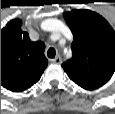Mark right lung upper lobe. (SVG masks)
<instances>
[{
    "label": "right lung upper lobe",
    "mask_w": 115,
    "mask_h": 114,
    "mask_svg": "<svg viewBox=\"0 0 115 114\" xmlns=\"http://www.w3.org/2000/svg\"><path fill=\"white\" fill-rule=\"evenodd\" d=\"M21 25L14 19L1 29V85L13 92L33 86L48 64L44 43L32 42Z\"/></svg>",
    "instance_id": "right-lung-upper-lobe-1"
}]
</instances>
